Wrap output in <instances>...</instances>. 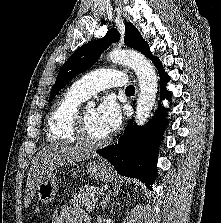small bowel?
<instances>
[{
  "instance_id": "small-bowel-1",
  "label": "small bowel",
  "mask_w": 221,
  "mask_h": 223,
  "mask_svg": "<svg viewBox=\"0 0 221 223\" xmlns=\"http://www.w3.org/2000/svg\"><path fill=\"white\" fill-rule=\"evenodd\" d=\"M52 223H90V219L79 209L64 205L56 210Z\"/></svg>"
}]
</instances>
